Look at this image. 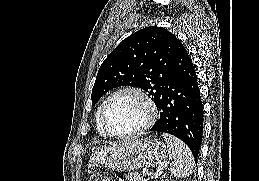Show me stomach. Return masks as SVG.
<instances>
[{
    "label": "stomach",
    "mask_w": 259,
    "mask_h": 181,
    "mask_svg": "<svg viewBox=\"0 0 259 181\" xmlns=\"http://www.w3.org/2000/svg\"><path fill=\"white\" fill-rule=\"evenodd\" d=\"M167 149L157 139H135L104 146L90 157L92 166H103L115 171L131 172L138 168L155 166L166 159Z\"/></svg>",
    "instance_id": "1"
}]
</instances>
